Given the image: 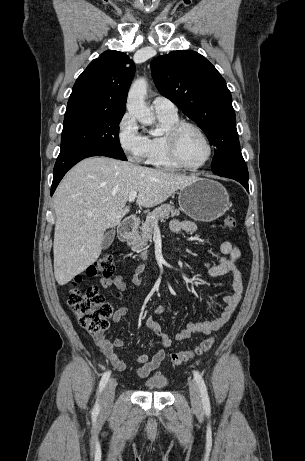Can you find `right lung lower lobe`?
<instances>
[{
	"label": "right lung lower lobe",
	"mask_w": 305,
	"mask_h": 461,
	"mask_svg": "<svg viewBox=\"0 0 305 461\" xmlns=\"http://www.w3.org/2000/svg\"><path fill=\"white\" fill-rule=\"evenodd\" d=\"M91 156L112 157L110 154L105 153V152L91 151V152L82 153V154H75L64 160L57 159L55 166H54L53 183L51 186V195H53L57 185L59 184V182L61 181V179L63 178V176L66 174V172L69 169H71L76 163H78L82 159L91 157Z\"/></svg>",
	"instance_id": "98d812e1"
}]
</instances>
